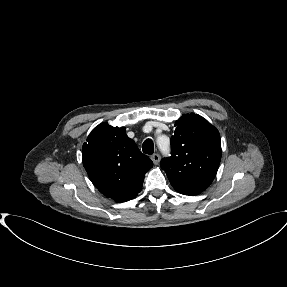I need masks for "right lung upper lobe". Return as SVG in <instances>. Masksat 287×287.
Instances as JSON below:
<instances>
[{"mask_svg": "<svg viewBox=\"0 0 287 287\" xmlns=\"http://www.w3.org/2000/svg\"><path fill=\"white\" fill-rule=\"evenodd\" d=\"M83 165L94 186L117 202L133 199L142 189L144 176L153 166L130 139L125 127L101 123L83 145Z\"/></svg>", "mask_w": 287, "mask_h": 287, "instance_id": "1", "label": "right lung upper lobe"}]
</instances>
